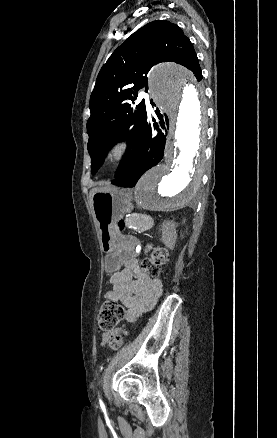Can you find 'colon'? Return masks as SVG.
<instances>
[{"label": "colon", "instance_id": "5ec220e1", "mask_svg": "<svg viewBox=\"0 0 277 438\" xmlns=\"http://www.w3.org/2000/svg\"><path fill=\"white\" fill-rule=\"evenodd\" d=\"M124 222L119 223V228L122 229ZM147 226H151V222H147ZM168 251L164 247H151V257L146 258L141 263V268L144 272L152 277H157L160 273L161 265L167 263ZM123 315V307L115 301H106L103 303L97 318L98 327L102 331H110L114 329L121 316ZM128 329H123L121 333L110 334L107 337L108 345L113 349H119L122 346L123 338L128 334Z\"/></svg>", "mask_w": 277, "mask_h": 438}]
</instances>
